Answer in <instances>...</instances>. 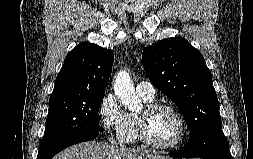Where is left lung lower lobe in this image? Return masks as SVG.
Returning a JSON list of instances; mask_svg holds the SVG:
<instances>
[{
    "label": "left lung lower lobe",
    "instance_id": "obj_1",
    "mask_svg": "<svg viewBox=\"0 0 253 159\" xmlns=\"http://www.w3.org/2000/svg\"><path fill=\"white\" fill-rule=\"evenodd\" d=\"M200 147L199 140H189L181 150L171 152L170 156L176 158L232 159L223 131L217 133L204 150H200Z\"/></svg>",
    "mask_w": 253,
    "mask_h": 159
}]
</instances>
